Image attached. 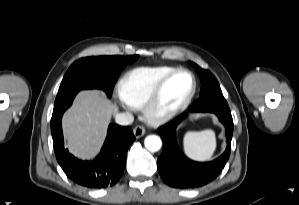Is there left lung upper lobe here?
Instances as JSON below:
<instances>
[{
    "label": "left lung upper lobe",
    "instance_id": "5c2ea615",
    "mask_svg": "<svg viewBox=\"0 0 299 205\" xmlns=\"http://www.w3.org/2000/svg\"><path fill=\"white\" fill-rule=\"evenodd\" d=\"M201 78L202 92L199 99L192 105L194 108H200L209 105L226 104L219 83L214 75L208 70L200 68L195 63L190 62Z\"/></svg>",
    "mask_w": 299,
    "mask_h": 205
}]
</instances>
